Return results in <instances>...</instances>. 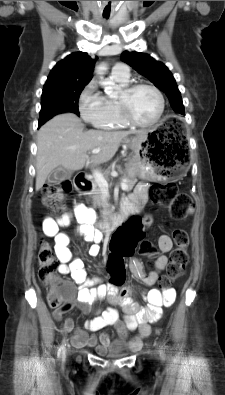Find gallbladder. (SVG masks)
I'll list each match as a JSON object with an SVG mask.
<instances>
[{
    "mask_svg": "<svg viewBox=\"0 0 225 395\" xmlns=\"http://www.w3.org/2000/svg\"><path fill=\"white\" fill-rule=\"evenodd\" d=\"M71 176H72V171H68L63 167H58L48 175L47 181L50 184H58L64 180L70 179Z\"/></svg>",
    "mask_w": 225,
    "mask_h": 395,
    "instance_id": "obj_1",
    "label": "gallbladder"
}]
</instances>
